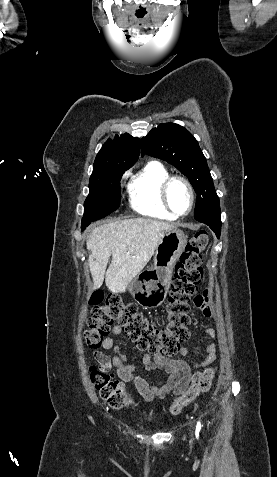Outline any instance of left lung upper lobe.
Listing matches in <instances>:
<instances>
[{"label":"left lung upper lobe","instance_id":"5c2ea615","mask_svg":"<svg viewBox=\"0 0 277 477\" xmlns=\"http://www.w3.org/2000/svg\"><path fill=\"white\" fill-rule=\"evenodd\" d=\"M142 154L160 158L188 177L197 194L194 218L219 216L220 204L207 161L197 140L184 127L160 124L142 138Z\"/></svg>","mask_w":277,"mask_h":477}]
</instances>
